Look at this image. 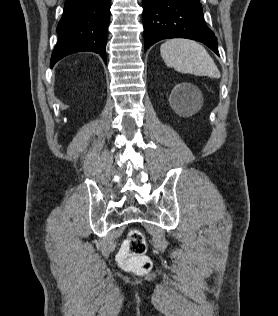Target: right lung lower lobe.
<instances>
[{
  "label": "right lung lower lobe",
  "instance_id": "obj_1",
  "mask_svg": "<svg viewBox=\"0 0 278 316\" xmlns=\"http://www.w3.org/2000/svg\"><path fill=\"white\" fill-rule=\"evenodd\" d=\"M110 6L111 0H66L51 67L64 56L80 51L99 53L106 62Z\"/></svg>",
  "mask_w": 278,
  "mask_h": 316
}]
</instances>
